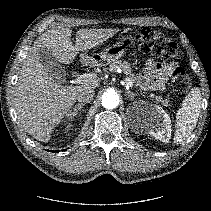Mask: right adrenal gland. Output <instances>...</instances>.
<instances>
[{
  "label": "right adrenal gland",
  "instance_id": "2a0ac1e0",
  "mask_svg": "<svg viewBox=\"0 0 211 211\" xmlns=\"http://www.w3.org/2000/svg\"><path fill=\"white\" fill-rule=\"evenodd\" d=\"M83 108V103H78L77 105H75V107L73 108V111L70 110L67 113V117H69L70 119H73L75 116L78 115V112Z\"/></svg>",
  "mask_w": 211,
  "mask_h": 211
}]
</instances>
